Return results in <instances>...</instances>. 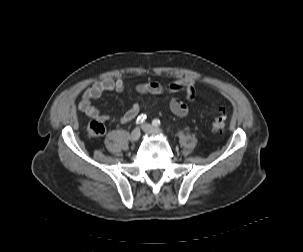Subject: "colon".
I'll return each instance as SVG.
<instances>
[{
    "label": "colon",
    "mask_w": 303,
    "mask_h": 252,
    "mask_svg": "<svg viewBox=\"0 0 303 252\" xmlns=\"http://www.w3.org/2000/svg\"><path fill=\"white\" fill-rule=\"evenodd\" d=\"M225 115L224 111L220 110L219 114L214 118L213 128L215 130L221 131L225 128ZM89 135L91 137H99L105 133V126L103 122L99 120L92 121L88 127Z\"/></svg>",
    "instance_id": "5ec220e1"
}]
</instances>
